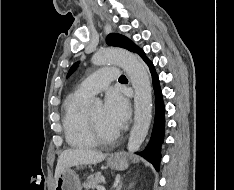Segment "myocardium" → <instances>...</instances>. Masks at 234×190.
Returning <instances> with one entry per match:
<instances>
[{
    "label": "myocardium",
    "mask_w": 234,
    "mask_h": 190,
    "mask_svg": "<svg viewBox=\"0 0 234 190\" xmlns=\"http://www.w3.org/2000/svg\"><path fill=\"white\" fill-rule=\"evenodd\" d=\"M86 120L89 125L90 131L97 142L108 143L114 141L119 136V131L111 133L104 132L99 125L94 121L90 113L86 112Z\"/></svg>",
    "instance_id": "1"
}]
</instances>
